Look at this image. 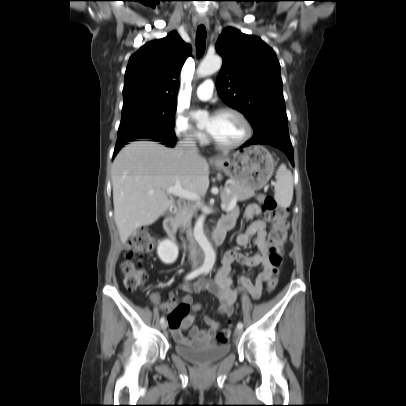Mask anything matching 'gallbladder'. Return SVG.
<instances>
[{"instance_id":"bac80fb5","label":"gallbladder","mask_w":406,"mask_h":406,"mask_svg":"<svg viewBox=\"0 0 406 406\" xmlns=\"http://www.w3.org/2000/svg\"><path fill=\"white\" fill-rule=\"evenodd\" d=\"M166 215H167V216H170V215H172V213L169 212V211H167V212H166Z\"/></svg>"}]
</instances>
